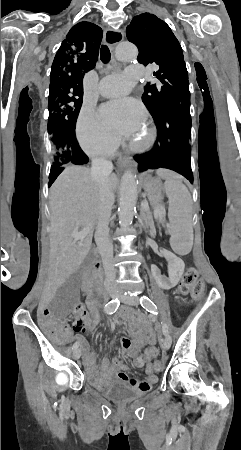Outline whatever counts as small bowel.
Wrapping results in <instances>:
<instances>
[{
    "mask_svg": "<svg viewBox=\"0 0 241 450\" xmlns=\"http://www.w3.org/2000/svg\"><path fill=\"white\" fill-rule=\"evenodd\" d=\"M85 288L90 290L92 285L87 283ZM87 301L91 308L92 317L75 320L73 329L78 333L87 334L96 323L95 311L98 302L93 299L89 291H87ZM39 306L40 308L37 312V317L39 319H48L52 316V313L48 311L47 301H40ZM41 326L46 329L45 333L48 335V339L51 341L54 340L57 344H62L64 342L63 336L67 335L69 332L65 327H51L52 323L48 320L42 321ZM76 327L83 328V331L77 330ZM150 331V324H137L136 329L131 328L129 325V337H123L120 340L123 350L134 358V365L139 368L144 367L146 377L143 380L132 378L126 373L127 366L123 363L121 355L114 357L111 361L104 358L101 361V369L97 370L94 364V354L88 351V344L85 336L79 334L77 336V342L85 351L84 359L87 372L94 386L97 388H105L117 382L123 387H130L139 392L145 393L150 391L153 385L157 383L158 377L155 374L154 366L149 363V361L159 354V349L156 346V336L153 331ZM143 347H145L144 353L137 354L138 350Z\"/></svg>",
    "mask_w": 241,
    "mask_h": 450,
    "instance_id": "1",
    "label": "small bowel"
}]
</instances>
